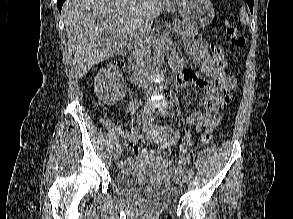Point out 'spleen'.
Here are the masks:
<instances>
[{
  "label": "spleen",
  "instance_id": "3e777b00",
  "mask_svg": "<svg viewBox=\"0 0 293 219\" xmlns=\"http://www.w3.org/2000/svg\"><path fill=\"white\" fill-rule=\"evenodd\" d=\"M239 16H240V20H241L242 25H244V26L248 25L249 17H248V14H247L245 8L242 7L240 9Z\"/></svg>",
  "mask_w": 293,
  "mask_h": 219
}]
</instances>
